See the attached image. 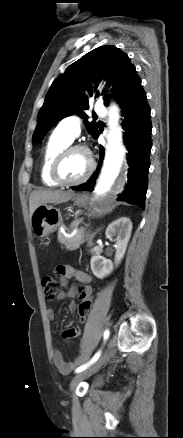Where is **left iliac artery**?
<instances>
[{"instance_id":"obj_1","label":"left iliac artery","mask_w":183,"mask_h":438,"mask_svg":"<svg viewBox=\"0 0 183 438\" xmlns=\"http://www.w3.org/2000/svg\"><path fill=\"white\" fill-rule=\"evenodd\" d=\"M109 334H110L109 330L106 329L105 332H104V340L105 341L108 339ZM100 355H101V350H99L88 363L78 367L75 370V372L79 373V372H82L83 370L87 369L90 365H92L94 362H96L99 359Z\"/></svg>"}]
</instances>
